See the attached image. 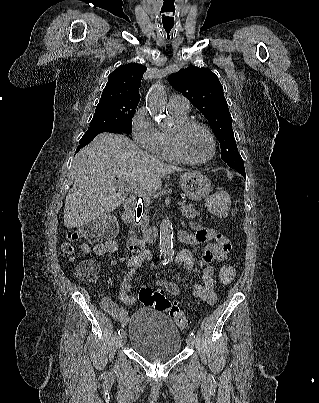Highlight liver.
Instances as JSON below:
<instances>
[{
  "mask_svg": "<svg viewBox=\"0 0 319 403\" xmlns=\"http://www.w3.org/2000/svg\"><path fill=\"white\" fill-rule=\"evenodd\" d=\"M183 171L139 149L127 136L101 133L74 158L64 206V225L78 228L118 208L126 193L121 183H138L141 190L160 188L165 175Z\"/></svg>",
  "mask_w": 319,
  "mask_h": 403,
  "instance_id": "obj_1",
  "label": "liver"
}]
</instances>
